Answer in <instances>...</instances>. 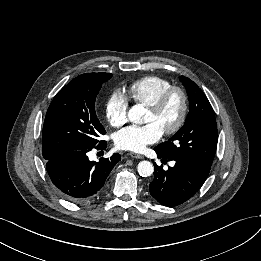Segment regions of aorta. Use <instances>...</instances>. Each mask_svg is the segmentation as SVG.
<instances>
[{"label":"aorta","instance_id":"aorta-1","mask_svg":"<svg viewBox=\"0 0 261 261\" xmlns=\"http://www.w3.org/2000/svg\"><path fill=\"white\" fill-rule=\"evenodd\" d=\"M144 113V107H142L140 104L134 105L128 112V118L132 123L141 124ZM137 171L140 176L148 177L153 174L154 167L153 164L149 161H141L137 166Z\"/></svg>","mask_w":261,"mask_h":261}]
</instances>
